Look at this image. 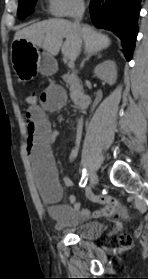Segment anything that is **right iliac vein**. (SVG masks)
Listing matches in <instances>:
<instances>
[{"label":"right iliac vein","instance_id":"obj_1","mask_svg":"<svg viewBox=\"0 0 148 279\" xmlns=\"http://www.w3.org/2000/svg\"><path fill=\"white\" fill-rule=\"evenodd\" d=\"M98 182L97 174L95 171L90 172V185L95 186Z\"/></svg>","mask_w":148,"mask_h":279}]
</instances>
